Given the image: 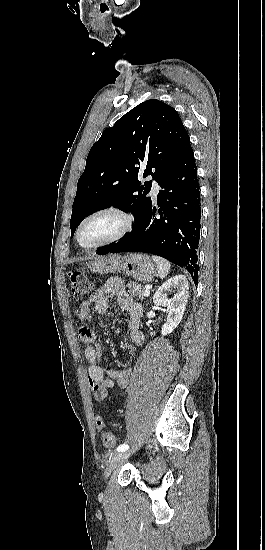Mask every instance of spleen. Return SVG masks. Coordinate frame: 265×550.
Returning <instances> with one entry per match:
<instances>
[{"mask_svg":"<svg viewBox=\"0 0 265 550\" xmlns=\"http://www.w3.org/2000/svg\"><path fill=\"white\" fill-rule=\"evenodd\" d=\"M152 258L157 264L159 277L161 279L165 278L171 267L170 262L155 255H153Z\"/></svg>","mask_w":265,"mask_h":550,"instance_id":"obj_1","label":"spleen"}]
</instances>
